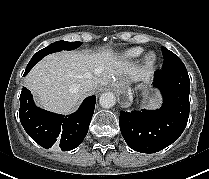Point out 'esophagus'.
<instances>
[{
  "mask_svg": "<svg viewBox=\"0 0 209 179\" xmlns=\"http://www.w3.org/2000/svg\"><path fill=\"white\" fill-rule=\"evenodd\" d=\"M117 99L120 103L125 104L129 101L130 96L127 92H120L117 96Z\"/></svg>",
  "mask_w": 209,
  "mask_h": 179,
  "instance_id": "esophagus-1",
  "label": "esophagus"
}]
</instances>
